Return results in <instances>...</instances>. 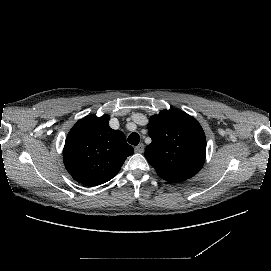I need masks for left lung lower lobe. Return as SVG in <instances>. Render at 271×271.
I'll return each mask as SVG.
<instances>
[{"mask_svg": "<svg viewBox=\"0 0 271 271\" xmlns=\"http://www.w3.org/2000/svg\"><path fill=\"white\" fill-rule=\"evenodd\" d=\"M167 181L174 183V182H181V181H184V180L179 179V178H171L170 180H167Z\"/></svg>", "mask_w": 271, "mask_h": 271, "instance_id": "1", "label": "left lung lower lobe"}]
</instances>
